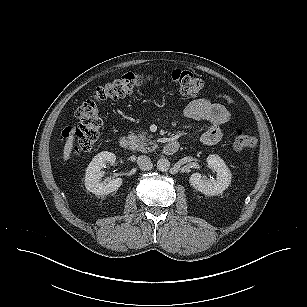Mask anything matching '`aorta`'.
I'll return each mask as SVG.
<instances>
[{
  "label": "aorta",
  "instance_id": "762f6f07",
  "mask_svg": "<svg viewBox=\"0 0 307 307\" xmlns=\"http://www.w3.org/2000/svg\"><path fill=\"white\" fill-rule=\"evenodd\" d=\"M170 168V162L166 158H161L157 161V169L162 172L168 171Z\"/></svg>",
  "mask_w": 307,
  "mask_h": 307
}]
</instances>
